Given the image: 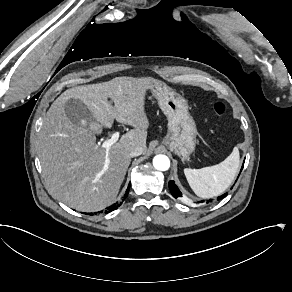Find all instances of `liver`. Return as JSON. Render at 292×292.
I'll return each mask as SVG.
<instances>
[{"label": "liver", "mask_w": 292, "mask_h": 292, "mask_svg": "<svg viewBox=\"0 0 292 292\" xmlns=\"http://www.w3.org/2000/svg\"><path fill=\"white\" fill-rule=\"evenodd\" d=\"M156 82L151 77H116L70 88L53 102L42 121L38 142L50 194L82 212L103 210L115 200L131 161L132 148L142 147L143 153L147 152L149 122L144 99L146 90ZM70 98L80 99L106 128L112 127L114 119L134 127L110 147L108 169L98 180L96 175L104 167L106 150L96 144L94 131L73 124L66 116L64 104Z\"/></svg>", "instance_id": "6515ba94"}]
</instances>
